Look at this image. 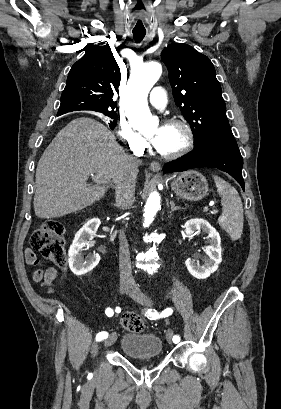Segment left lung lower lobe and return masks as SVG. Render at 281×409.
<instances>
[{
	"label": "left lung lower lobe",
	"mask_w": 281,
	"mask_h": 409,
	"mask_svg": "<svg viewBox=\"0 0 281 409\" xmlns=\"http://www.w3.org/2000/svg\"><path fill=\"white\" fill-rule=\"evenodd\" d=\"M242 166L243 159L238 146L206 143L194 147V150L185 157L166 164L163 171L175 172L199 167H215L229 173L245 190Z\"/></svg>",
	"instance_id": "0a47b994"
}]
</instances>
